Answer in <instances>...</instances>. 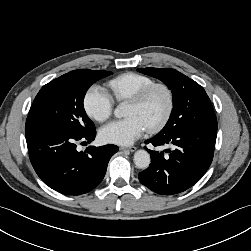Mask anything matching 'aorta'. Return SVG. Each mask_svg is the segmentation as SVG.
Masks as SVG:
<instances>
[{
  "label": "aorta",
  "instance_id": "obj_1",
  "mask_svg": "<svg viewBox=\"0 0 251 251\" xmlns=\"http://www.w3.org/2000/svg\"><path fill=\"white\" fill-rule=\"evenodd\" d=\"M127 105L126 103H120L114 110V115L117 118L125 117ZM150 154L146 150H138L134 154V163L139 169H146L150 165Z\"/></svg>",
  "mask_w": 251,
  "mask_h": 251
}]
</instances>
